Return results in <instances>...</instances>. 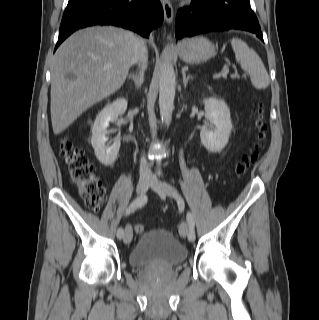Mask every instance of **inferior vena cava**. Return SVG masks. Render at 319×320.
<instances>
[{
  "label": "inferior vena cava",
  "mask_w": 319,
  "mask_h": 320,
  "mask_svg": "<svg viewBox=\"0 0 319 320\" xmlns=\"http://www.w3.org/2000/svg\"><path fill=\"white\" fill-rule=\"evenodd\" d=\"M134 63H139L142 67V71L147 67V49L144 41L140 38L136 39V49L133 57ZM151 174V170L147 164L146 159L143 157L140 162V175L141 176H149Z\"/></svg>",
  "instance_id": "obj_1"
}]
</instances>
